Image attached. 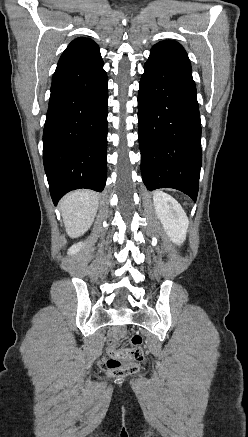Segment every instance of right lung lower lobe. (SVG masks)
<instances>
[{
  "mask_svg": "<svg viewBox=\"0 0 248 437\" xmlns=\"http://www.w3.org/2000/svg\"><path fill=\"white\" fill-rule=\"evenodd\" d=\"M107 83L102 58L57 65L43 132V162L55 205L71 190L104 189Z\"/></svg>",
  "mask_w": 248,
  "mask_h": 437,
  "instance_id": "1",
  "label": "right lung lower lobe"
}]
</instances>
